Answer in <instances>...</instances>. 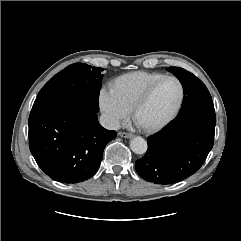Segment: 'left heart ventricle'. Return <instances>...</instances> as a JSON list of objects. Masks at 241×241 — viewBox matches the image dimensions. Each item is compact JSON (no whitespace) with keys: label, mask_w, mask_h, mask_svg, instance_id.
<instances>
[{"label":"left heart ventricle","mask_w":241,"mask_h":241,"mask_svg":"<svg viewBox=\"0 0 241 241\" xmlns=\"http://www.w3.org/2000/svg\"><path fill=\"white\" fill-rule=\"evenodd\" d=\"M180 95L179 85L174 80H165L152 93L148 101L135 114L140 126H152L164 120L176 106Z\"/></svg>","instance_id":"b2bd125f"}]
</instances>
